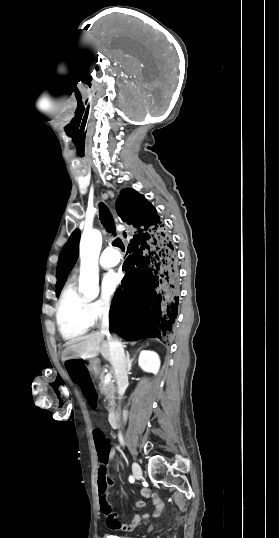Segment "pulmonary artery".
Returning a JSON list of instances; mask_svg holds the SVG:
<instances>
[{
    "instance_id": "e3ab8cb5",
    "label": "pulmonary artery",
    "mask_w": 279,
    "mask_h": 538,
    "mask_svg": "<svg viewBox=\"0 0 279 538\" xmlns=\"http://www.w3.org/2000/svg\"><path fill=\"white\" fill-rule=\"evenodd\" d=\"M119 259L112 249H105L100 256V266L105 270H110L117 265Z\"/></svg>"
}]
</instances>
